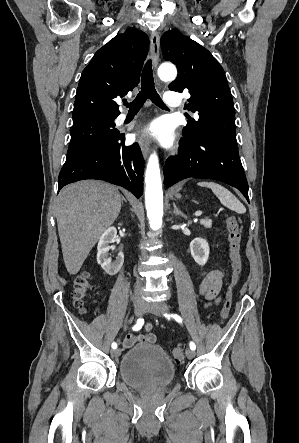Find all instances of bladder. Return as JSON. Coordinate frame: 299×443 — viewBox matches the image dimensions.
<instances>
[{
	"label": "bladder",
	"instance_id": "bladder-1",
	"mask_svg": "<svg viewBox=\"0 0 299 443\" xmlns=\"http://www.w3.org/2000/svg\"><path fill=\"white\" fill-rule=\"evenodd\" d=\"M119 375L135 389H164L173 384L176 367L161 346L140 343L127 350L121 358Z\"/></svg>",
	"mask_w": 299,
	"mask_h": 443
}]
</instances>
